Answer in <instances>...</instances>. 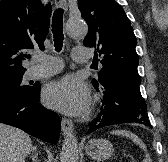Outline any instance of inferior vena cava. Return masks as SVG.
I'll return each mask as SVG.
<instances>
[{"label": "inferior vena cava", "instance_id": "obj_1", "mask_svg": "<svg viewBox=\"0 0 168 162\" xmlns=\"http://www.w3.org/2000/svg\"><path fill=\"white\" fill-rule=\"evenodd\" d=\"M33 151H34V149H33ZM35 158H36V156H34L33 161H34V162H37Z\"/></svg>", "mask_w": 168, "mask_h": 162}]
</instances>
